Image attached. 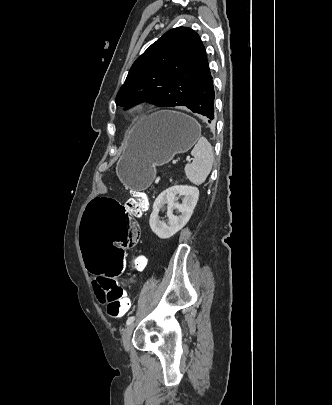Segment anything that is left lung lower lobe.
<instances>
[{"mask_svg": "<svg viewBox=\"0 0 332 405\" xmlns=\"http://www.w3.org/2000/svg\"><path fill=\"white\" fill-rule=\"evenodd\" d=\"M214 86L209 66L205 68L194 88L193 97L188 109L194 113L201 114L208 122L215 117L214 112Z\"/></svg>", "mask_w": 332, "mask_h": 405, "instance_id": "left-lung-lower-lobe-1", "label": "left lung lower lobe"}]
</instances>
